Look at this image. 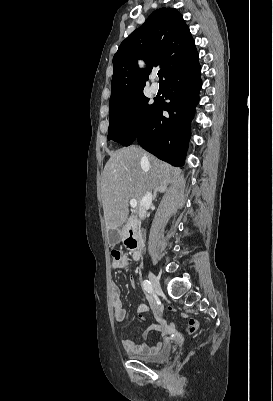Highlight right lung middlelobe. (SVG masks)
<instances>
[{
	"mask_svg": "<svg viewBox=\"0 0 273 401\" xmlns=\"http://www.w3.org/2000/svg\"><path fill=\"white\" fill-rule=\"evenodd\" d=\"M148 102L149 98L141 93L110 107L108 140L131 145L151 120L156 101L153 104Z\"/></svg>",
	"mask_w": 273,
	"mask_h": 401,
	"instance_id": "right-lung-middle-lobe-1",
	"label": "right lung middle lobe"
}]
</instances>
